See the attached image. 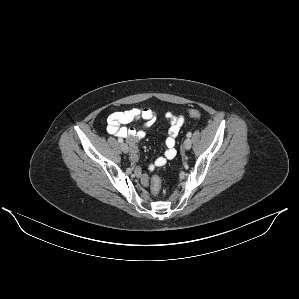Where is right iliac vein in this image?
<instances>
[{"mask_svg": "<svg viewBox=\"0 0 299 299\" xmlns=\"http://www.w3.org/2000/svg\"><path fill=\"white\" fill-rule=\"evenodd\" d=\"M120 147H121V150L124 153H128L129 152V147H128V145L126 143H121Z\"/></svg>", "mask_w": 299, "mask_h": 299, "instance_id": "right-iliac-vein-1", "label": "right iliac vein"}]
</instances>
